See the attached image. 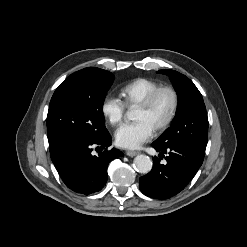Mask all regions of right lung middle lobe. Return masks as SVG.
Returning <instances> with one entry per match:
<instances>
[{"label": "right lung middle lobe", "mask_w": 247, "mask_h": 247, "mask_svg": "<svg viewBox=\"0 0 247 247\" xmlns=\"http://www.w3.org/2000/svg\"><path fill=\"white\" fill-rule=\"evenodd\" d=\"M113 77L106 70L88 67L59 85L47 115L50 151L75 141L95 140L107 132L102 108Z\"/></svg>", "instance_id": "1"}]
</instances>
